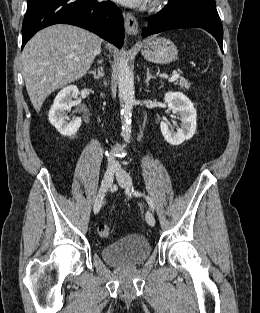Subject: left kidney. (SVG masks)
<instances>
[{
  "label": "left kidney",
  "mask_w": 260,
  "mask_h": 313,
  "mask_svg": "<svg viewBox=\"0 0 260 313\" xmlns=\"http://www.w3.org/2000/svg\"><path fill=\"white\" fill-rule=\"evenodd\" d=\"M165 102L173 113L179 115L180 128H169L167 121L160 123L164 139L171 145H180L185 140L193 137L196 131L197 113L193 103L181 92H168L165 94Z\"/></svg>",
  "instance_id": "left-kidney-1"
}]
</instances>
